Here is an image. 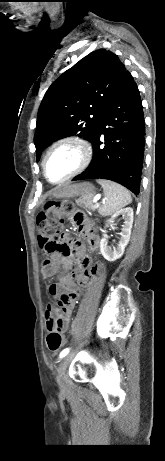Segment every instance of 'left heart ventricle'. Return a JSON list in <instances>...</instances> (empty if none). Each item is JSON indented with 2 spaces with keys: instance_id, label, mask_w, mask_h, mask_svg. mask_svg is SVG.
Wrapping results in <instances>:
<instances>
[{
  "instance_id": "b2bd125f",
  "label": "left heart ventricle",
  "mask_w": 165,
  "mask_h": 461,
  "mask_svg": "<svg viewBox=\"0 0 165 461\" xmlns=\"http://www.w3.org/2000/svg\"><path fill=\"white\" fill-rule=\"evenodd\" d=\"M79 154L71 146L56 148L48 157L46 171L52 181L66 176L78 163Z\"/></svg>"
}]
</instances>
